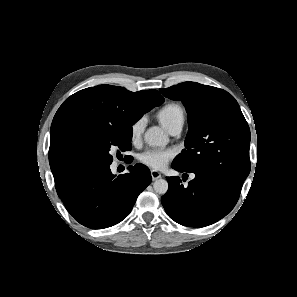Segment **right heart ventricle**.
Returning <instances> with one entry per match:
<instances>
[{
	"label": "right heart ventricle",
	"mask_w": 297,
	"mask_h": 297,
	"mask_svg": "<svg viewBox=\"0 0 297 297\" xmlns=\"http://www.w3.org/2000/svg\"><path fill=\"white\" fill-rule=\"evenodd\" d=\"M160 123L171 132L177 127H182L185 121L184 110L178 103L171 102L164 105L157 112Z\"/></svg>",
	"instance_id": "right-heart-ventricle-1"
}]
</instances>
